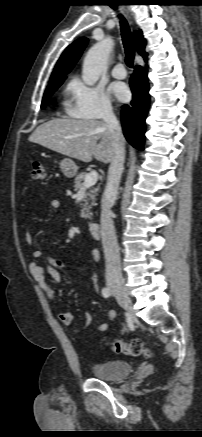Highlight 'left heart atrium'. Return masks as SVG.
Masks as SVG:
<instances>
[{
    "label": "left heart atrium",
    "mask_w": 202,
    "mask_h": 437,
    "mask_svg": "<svg viewBox=\"0 0 202 437\" xmlns=\"http://www.w3.org/2000/svg\"><path fill=\"white\" fill-rule=\"evenodd\" d=\"M110 90L120 101H126L129 98L130 92L127 86L123 83L112 84Z\"/></svg>",
    "instance_id": "1"
}]
</instances>
